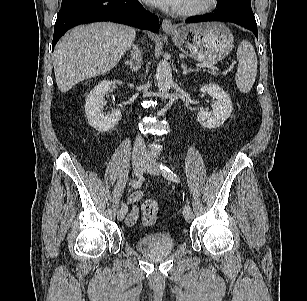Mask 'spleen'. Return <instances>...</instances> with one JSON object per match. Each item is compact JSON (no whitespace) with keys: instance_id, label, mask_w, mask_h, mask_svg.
Instances as JSON below:
<instances>
[{"instance_id":"obj_1","label":"spleen","mask_w":307,"mask_h":301,"mask_svg":"<svg viewBox=\"0 0 307 301\" xmlns=\"http://www.w3.org/2000/svg\"><path fill=\"white\" fill-rule=\"evenodd\" d=\"M238 70L235 81L242 93H248L255 82L257 74V57L252 44L242 41L237 49Z\"/></svg>"}]
</instances>
